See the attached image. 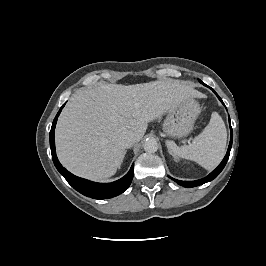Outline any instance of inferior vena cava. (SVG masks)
Here are the masks:
<instances>
[{
    "label": "inferior vena cava",
    "instance_id": "602c4592",
    "mask_svg": "<svg viewBox=\"0 0 266 266\" xmlns=\"http://www.w3.org/2000/svg\"><path fill=\"white\" fill-rule=\"evenodd\" d=\"M136 142V138L132 134H126L122 137V145L125 148L132 147Z\"/></svg>",
    "mask_w": 266,
    "mask_h": 266
}]
</instances>
